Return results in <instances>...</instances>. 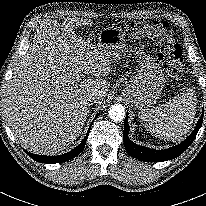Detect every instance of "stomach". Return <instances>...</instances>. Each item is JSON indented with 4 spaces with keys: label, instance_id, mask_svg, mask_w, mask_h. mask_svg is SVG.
I'll list each match as a JSON object with an SVG mask.
<instances>
[{
    "label": "stomach",
    "instance_id": "stomach-1",
    "mask_svg": "<svg viewBox=\"0 0 206 206\" xmlns=\"http://www.w3.org/2000/svg\"><path fill=\"white\" fill-rule=\"evenodd\" d=\"M98 47L105 50L112 60L122 56L127 50L122 29L114 26L105 28L99 34ZM137 54L139 69L130 84L125 87L123 95L141 113L156 103L166 79L159 64L151 55L141 51Z\"/></svg>",
    "mask_w": 206,
    "mask_h": 206
}]
</instances>
